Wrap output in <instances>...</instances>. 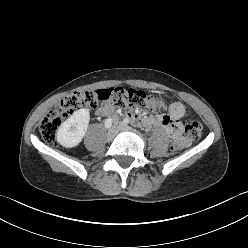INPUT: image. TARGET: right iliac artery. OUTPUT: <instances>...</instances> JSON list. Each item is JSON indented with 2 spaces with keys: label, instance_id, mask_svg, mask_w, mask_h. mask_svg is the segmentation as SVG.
I'll use <instances>...</instances> for the list:
<instances>
[{
  "label": "right iliac artery",
  "instance_id": "82829eb1",
  "mask_svg": "<svg viewBox=\"0 0 248 248\" xmlns=\"http://www.w3.org/2000/svg\"><path fill=\"white\" fill-rule=\"evenodd\" d=\"M113 120L111 118L105 121V127L108 129L112 126Z\"/></svg>",
  "mask_w": 248,
  "mask_h": 248
}]
</instances>
